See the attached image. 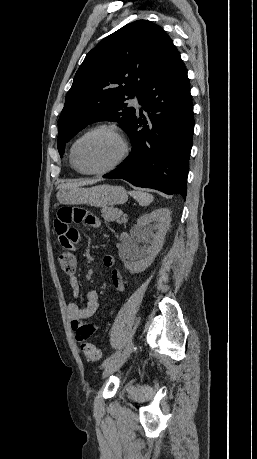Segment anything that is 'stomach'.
Returning a JSON list of instances; mask_svg holds the SVG:
<instances>
[{"label":"stomach","instance_id":"obj_1","mask_svg":"<svg viewBox=\"0 0 257 459\" xmlns=\"http://www.w3.org/2000/svg\"><path fill=\"white\" fill-rule=\"evenodd\" d=\"M128 195L122 186L98 185L90 188L73 187L61 189L57 199L61 204H88L95 207H107L122 204Z\"/></svg>","mask_w":257,"mask_h":459}]
</instances>
